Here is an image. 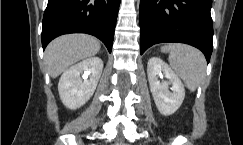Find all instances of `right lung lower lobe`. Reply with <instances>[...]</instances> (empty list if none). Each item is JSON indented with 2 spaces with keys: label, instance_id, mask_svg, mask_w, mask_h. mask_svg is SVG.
Instances as JSON below:
<instances>
[{
  "label": "right lung lower lobe",
  "instance_id": "obj_1",
  "mask_svg": "<svg viewBox=\"0 0 243 145\" xmlns=\"http://www.w3.org/2000/svg\"><path fill=\"white\" fill-rule=\"evenodd\" d=\"M120 0H48L43 17V50L55 37L88 33L111 52Z\"/></svg>",
  "mask_w": 243,
  "mask_h": 145
}]
</instances>
